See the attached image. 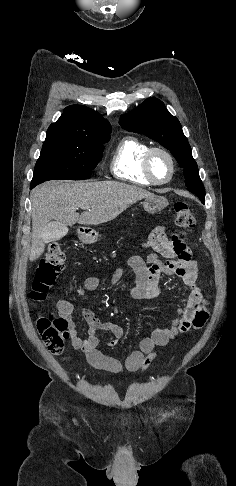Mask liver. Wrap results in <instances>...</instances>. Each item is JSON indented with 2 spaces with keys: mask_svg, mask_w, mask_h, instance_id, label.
<instances>
[{
  "mask_svg": "<svg viewBox=\"0 0 236 486\" xmlns=\"http://www.w3.org/2000/svg\"><path fill=\"white\" fill-rule=\"evenodd\" d=\"M153 193L132 185L114 182L48 181L31 193L32 242L30 261L38 259L49 242L51 220L72 226L99 225L115 219L130 205ZM79 208L87 210L79 215Z\"/></svg>",
  "mask_w": 236,
  "mask_h": 486,
  "instance_id": "obj_1",
  "label": "liver"
}]
</instances>
